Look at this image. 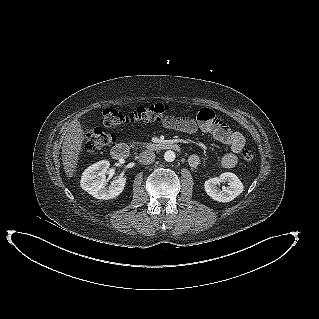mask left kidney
<instances>
[{"label": "left kidney", "mask_w": 319, "mask_h": 319, "mask_svg": "<svg viewBox=\"0 0 319 319\" xmlns=\"http://www.w3.org/2000/svg\"><path fill=\"white\" fill-rule=\"evenodd\" d=\"M220 182H227L228 186H223L220 190L217 187ZM204 188L207 195L218 202H230L244 190L240 179L231 172H225L219 177L208 179L205 181Z\"/></svg>", "instance_id": "1"}]
</instances>
